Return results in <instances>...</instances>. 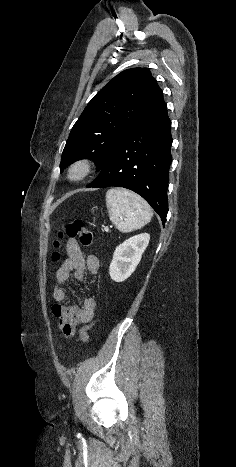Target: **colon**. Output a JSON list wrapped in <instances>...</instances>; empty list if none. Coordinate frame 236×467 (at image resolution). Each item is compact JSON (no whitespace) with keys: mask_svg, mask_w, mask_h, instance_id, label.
Segmentation results:
<instances>
[{"mask_svg":"<svg viewBox=\"0 0 236 467\" xmlns=\"http://www.w3.org/2000/svg\"><path fill=\"white\" fill-rule=\"evenodd\" d=\"M67 236L70 239H78L79 242L86 247H89L93 244V233L88 230L81 219H74L68 222L63 228L57 232V238L54 241L55 248L61 246V241L64 237ZM53 259L58 261L60 259V254L58 251L53 253ZM93 324L84 326L79 331L80 339L87 343L89 340V330L92 328Z\"/></svg>","mask_w":236,"mask_h":467,"instance_id":"colon-1","label":"colon"}]
</instances>
